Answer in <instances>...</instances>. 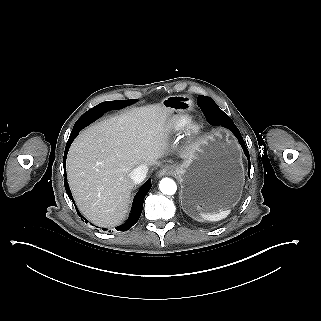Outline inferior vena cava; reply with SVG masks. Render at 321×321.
<instances>
[{"label": "inferior vena cava", "instance_id": "602c4592", "mask_svg": "<svg viewBox=\"0 0 321 321\" xmlns=\"http://www.w3.org/2000/svg\"><path fill=\"white\" fill-rule=\"evenodd\" d=\"M148 166L143 164L139 167L134 168L131 172H130V178L135 182V183H139L141 182L145 177L146 174L148 173Z\"/></svg>", "mask_w": 321, "mask_h": 321}]
</instances>
